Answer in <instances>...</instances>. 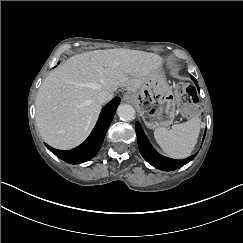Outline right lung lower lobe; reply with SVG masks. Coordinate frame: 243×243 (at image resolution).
<instances>
[{
	"instance_id": "98d812e1",
	"label": "right lung lower lobe",
	"mask_w": 243,
	"mask_h": 243,
	"mask_svg": "<svg viewBox=\"0 0 243 243\" xmlns=\"http://www.w3.org/2000/svg\"><path fill=\"white\" fill-rule=\"evenodd\" d=\"M119 103L120 98L116 97L102 109L96 126L80 146L72 150H58L47 144L46 147L58 158L70 164H79L92 159L101 148Z\"/></svg>"
}]
</instances>
